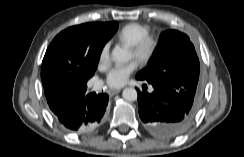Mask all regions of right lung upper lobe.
<instances>
[{
  "label": "right lung upper lobe",
  "mask_w": 244,
  "mask_h": 157,
  "mask_svg": "<svg viewBox=\"0 0 244 157\" xmlns=\"http://www.w3.org/2000/svg\"><path fill=\"white\" fill-rule=\"evenodd\" d=\"M82 25L95 33L94 41L96 42V39L97 41H101L104 39L109 40L116 32V27L118 23H86ZM94 47V45L89 46L85 44L84 46H81L77 49L75 53V66L72 67L65 82L53 83L41 77L45 95L53 94L65 87L81 88L86 86L88 79L92 77L90 74L89 58L94 51Z\"/></svg>",
  "instance_id": "obj_1"
}]
</instances>
